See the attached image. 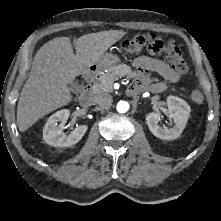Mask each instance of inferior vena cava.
<instances>
[{
	"label": "inferior vena cava",
	"instance_id": "inferior-vena-cava-1",
	"mask_svg": "<svg viewBox=\"0 0 221 221\" xmlns=\"http://www.w3.org/2000/svg\"><path fill=\"white\" fill-rule=\"evenodd\" d=\"M95 103L102 107H110L112 105L113 99L109 94H99L95 97Z\"/></svg>",
	"mask_w": 221,
	"mask_h": 221
}]
</instances>
